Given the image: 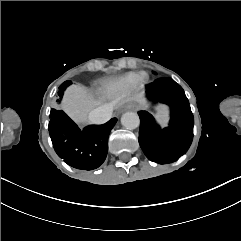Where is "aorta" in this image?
<instances>
[{
	"label": "aorta",
	"instance_id": "1",
	"mask_svg": "<svg viewBox=\"0 0 241 241\" xmlns=\"http://www.w3.org/2000/svg\"><path fill=\"white\" fill-rule=\"evenodd\" d=\"M121 124L124 128L133 130L140 125V118L134 112H126L121 117Z\"/></svg>",
	"mask_w": 241,
	"mask_h": 241
}]
</instances>
